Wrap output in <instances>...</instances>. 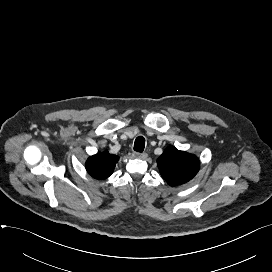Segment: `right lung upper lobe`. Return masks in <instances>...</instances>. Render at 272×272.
<instances>
[{
    "mask_svg": "<svg viewBox=\"0 0 272 272\" xmlns=\"http://www.w3.org/2000/svg\"><path fill=\"white\" fill-rule=\"evenodd\" d=\"M118 160V156L109 154L108 151H104L89 157L85 167L88 173L95 179H105L113 173Z\"/></svg>",
    "mask_w": 272,
    "mask_h": 272,
    "instance_id": "1",
    "label": "right lung upper lobe"
}]
</instances>
